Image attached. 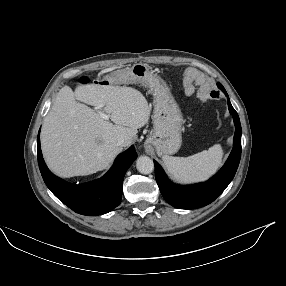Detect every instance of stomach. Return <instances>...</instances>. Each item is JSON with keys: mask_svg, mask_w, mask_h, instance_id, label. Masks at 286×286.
Segmentation results:
<instances>
[{"mask_svg": "<svg viewBox=\"0 0 286 286\" xmlns=\"http://www.w3.org/2000/svg\"><path fill=\"white\" fill-rule=\"evenodd\" d=\"M105 78L109 83H141L151 90L154 98L153 130L146 145L160 156L175 154L182 143L183 116L166 82L143 63L114 71L112 76Z\"/></svg>", "mask_w": 286, "mask_h": 286, "instance_id": "0dacf381", "label": "stomach"}]
</instances>
